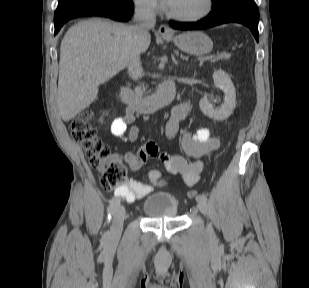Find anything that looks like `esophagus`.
<instances>
[{"mask_svg":"<svg viewBox=\"0 0 309 288\" xmlns=\"http://www.w3.org/2000/svg\"><path fill=\"white\" fill-rule=\"evenodd\" d=\"M158 32L163 36L172 34V31L170 30V28L164 24L160 25Z\"/></svg>","mask_w":309,"mask_h":288,"instance_id":"esophagus-1","label":"esophagus"}]
</instances>
